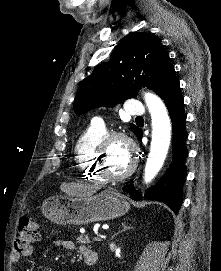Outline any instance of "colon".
<instances>
[{
    "instance_id": "1",
    "label": "colon",
    "mask_w": 221,
    "mask_h": 271,
    "mask_svg": "<svg viewBox=\"0 0 221 271\" xmlns=\"http://www.w3.org/2000/svg\"><path fill=\"white\" fill-rule=\"evenodd\" d=\"M40 221L23 217L20 221L18 233L15 238V249L25 251L39 239Z\"/></svg>"
}]
</instances>
